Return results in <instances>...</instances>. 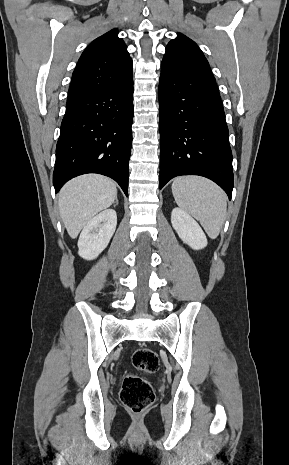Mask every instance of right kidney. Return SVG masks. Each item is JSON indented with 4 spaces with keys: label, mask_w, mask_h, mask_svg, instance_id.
<instances>
[{
    "label": "right kidney",
    "mask_w": 289,
    "mask_h": 465,
    "mask_svg": "<svg viewBox=\"0 0 289 465\" xmlns=\"http://www.w3.org/2000/svg\"><path fill=\"white\" fill-rule=\"evenodd\" d=\"M117 225L114 209H107L93 217L83 228L78 240V254L93 260L107 247Z\"/></svg>",
    "instance_id": "ca27d5eb"
}]
</instances>
